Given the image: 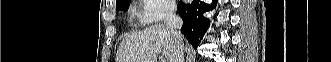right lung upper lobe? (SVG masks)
<instances>
[{"instance_id":"right-lung-upper-lobe-1","label":"right lung upper lobe","mask_w":331,"mask_h":62,"mask_svg":"<svg viewBox=\"0 0 331 62\" xmlns=\"http://www.w3.org/2000/svg\"><path fill=\"white\" fill-rule=\"evenodd\" d=\"M120 1H122V0H116V3L120 2Z\"/></svg>"}]
</instances>
